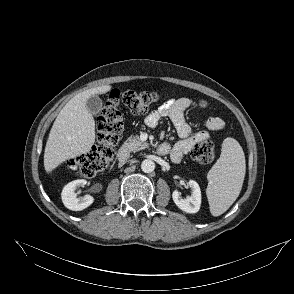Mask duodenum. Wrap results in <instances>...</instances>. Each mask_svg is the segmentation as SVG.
<instances>
[{
  "instance_id": "1",
  "label": "duodenum",
  "mask_w": 294,
  "mask_h": 294,
  "mask_svg": "<svg viewBox=\"0 0 294 294\" xmlns=\"http://www.w3.org/2000/svg\"><path fill=\"white\" fill-rule=\"evenodd\" d=\"M170 146L167 143H161L156 147V152L159 155H166L169 152ZM118 160L121 163H126L128 160V152L125 148H120L117 153Z\"/></svg>"
}]
</instances>
